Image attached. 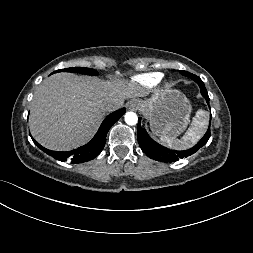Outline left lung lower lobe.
<instances>
[{"label": "left lung lower lobe", "instance_id": "left-lung-lower-lobe-1", "mask_svg": "<svg viewBox=\"0 0 253 253\" xmlns=\"http://www.w3.org/2000/svg\"><path fill=\"white\" fill-rule=\"evenodd\" d=\"M188 77L193 79L199 85L202 96L206 99L207 103H209V96L203 81L198 76L191 73L188 74ZM140 120L141 118H139L137 128V137L139 145L148 157L156 161L175 162L178 161L180 158L188 157L198 151L202 146H204L210 138V129L208 128L204 137L191 149L185 151H173L153 141L147 134L146 130L141 127Z\"/></svg>", "mask_w": 253, "mask_h": 253}]
</instances>
